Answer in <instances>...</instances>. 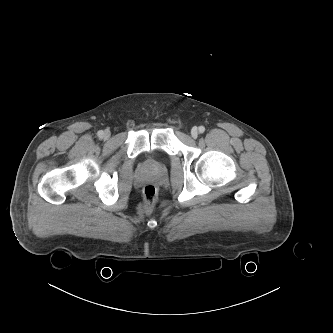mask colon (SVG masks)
Masks as SVG:
<instances>
[{"label": "colon", "mask_w": 333, "mask_h": 333, "mask_svg": "<svg viewBox=\"0 0 333 333\" xmlns=\"http://www.w3.org/2000/svg\"><path fill=\"white\" fill-rule=\"evenodd\" d=\"M157 189L148 184L143 188V204L146 211H151L157 203Z\"/></svg>", "instance_id": "1"}]
</instances>
